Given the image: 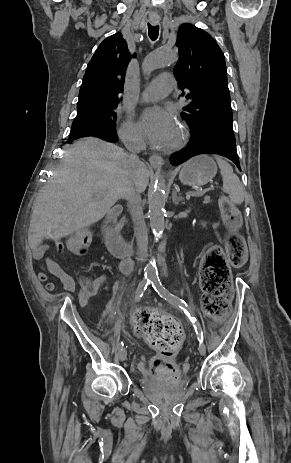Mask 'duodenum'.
<instances>
[{
    "label": "duodenum",
    "mask_w": 291,
    "mask_h": 463,
    "mask_svg": "<svg viewBox=\"0 0 291 463\" xmlns=\"http://www.w3.org/2000/svg\"><path fill=\"white\" fill-rule=\"evenodd\" d=\"M110 209L102 226L104 243L113 255L117 257L128 256L133 252L132 241L122 239L113 225L124 210V205L114 203L110 206Z\"/></svg>",
    "instance_id": "obj_1"
}]
</instances>
